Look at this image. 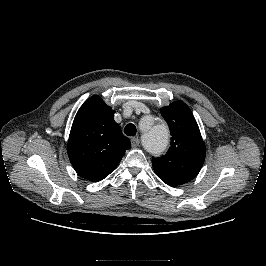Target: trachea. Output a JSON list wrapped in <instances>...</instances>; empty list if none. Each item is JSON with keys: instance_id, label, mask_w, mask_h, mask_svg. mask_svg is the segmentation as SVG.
<instances>
[{"instance_id": "trachea-1", "label": "trachea", "mask_w": 266, "mask_h": 266, "mask_svg": "<svg viewBox=\"0 0 266 266\" xmlns=\"http://www.w3.org/2000/svg\"><path fill=\"white\" fill-rule=\"evenodd\" d=\"M137 130H136V126L132 123L127 124L126 127L124 128V133L127 136H134L136 134Z\"/></svg>"}]
</instances>
